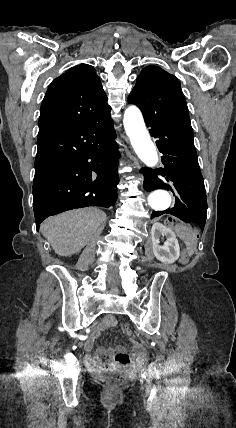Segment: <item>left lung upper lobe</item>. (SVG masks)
Returning <instances> with one entry per match:
<instances>
[{
    "mask_svg": "<svg viewBox=\"0 0 236 428\" xmlns=\"http://www.w3.org/2000/svg\"><path fill=\"white\" fill-rule=\"evenodd\" d=\"M128 102L140 108L145 120L168 121L193 133L180 82L160 67L142 69Z\"/></svg>",
    "mask_w": 236,
    "mask_h": 428,
    "instance_id": "obj_1",
    "label": "left lung upper lobe"
}]
</instances>
